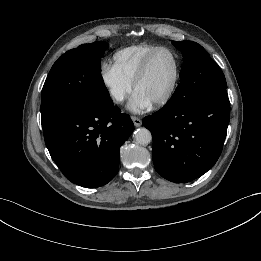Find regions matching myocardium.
I'll use <instances>...</instances> for the list:
<instances>
[{
	"mask_svg": "<svg viewBox=\"0 0 261 261\" xmlns=\"http://www.w3.org/2000/svg\"><path fill=\"white\" fill-rule=\"evenodd\" d=\"M161 51L169 52L172 55L174 59V76L168 91L161 98L152 103V105L157 108L166 105L172 99L178 87L180 78V61L177 53L170 47L159 46L145 58L133 81V88L136 91L140 82L146 77L153 58Z\"/></svg>",
	"mask_w": 261,
	"mask_h": 261,
	"instance_id": "myocardium-1",
	"label": "myocardium"
}]
</instances>
